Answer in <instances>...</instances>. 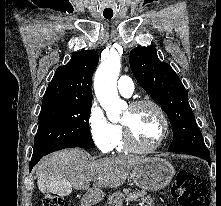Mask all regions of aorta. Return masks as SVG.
Wrapping results in <instances>:
<instances>
[{"mask_svg": "<svg viewBox=\"0 0 221 206\" xmlns=\"http://www.w3.org/2000/svg\"><path fill=\"white\" fill-rule=\"evenodd\" d=\"M121 62L118 54H112L97 69L94 78V90L100 105L105 109L109 120L116 122L121 112L126 108L117 92V79Z\"/></svg>", "mask_w": 221, "mask_h": 206, "instance_id": "aorta-1", "label": "aorta"}]
</instances>
